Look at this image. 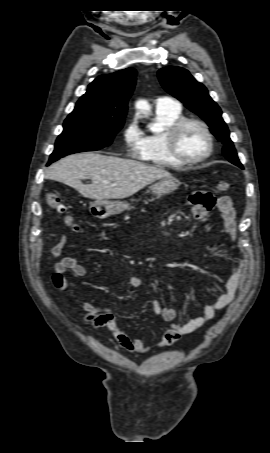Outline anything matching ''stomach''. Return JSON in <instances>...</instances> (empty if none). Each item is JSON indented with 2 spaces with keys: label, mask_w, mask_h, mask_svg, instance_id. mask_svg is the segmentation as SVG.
<instances>
[{
  "label": "stomach",
  "mask_w": 270,
  "mask_h": 453,
  "mask_svg": "<svg viewBox=\"0 0 270 453\" xmlns=\"http://www.w3.org/2000/svg\"><path fill=\"white\" fill-rule=\"evenodd\" d=\"M180 185L179 180L174 177L162 178L152 186L153 193L157 196L168 194ZM129 209V204L122 201L96 200L90 204L89 212L98 219H105L112 215L120 214Z\"/></svg>",
  "instance_id": "0dacf381"
}]
</instances>
